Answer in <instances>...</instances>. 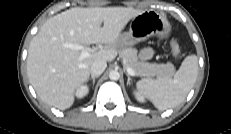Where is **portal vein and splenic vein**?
Instances as JSON below:
<instances>
[{
    "label": "portal vein and splenic vein",
    "instance_id": "obj_1",
    "mask_svg": "<svg viewBox=\"0 0 231 134\" xmlns=\"http://www.w3.org/2000/svg\"><path fill=\"white\" fill-rule=\"evenodd\" d=\"M66 47L81 51L80 59L86 58V57H88L90 55L89 49L85 48L82 45L68 44V45H66ZM126 70H127L128 74L131 75V76H136L137 75V73L130 67H127Z\"/></svg>",
    "mask_w": 231,
    "mask_h": 134
}]
</instances>
